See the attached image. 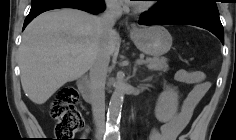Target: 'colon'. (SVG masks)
Returning <instances> with one entry per match:
<instances>
[{"label":"colon","mask_w":236,"mask_h":140,"mask_svg":"<svg viewBox=\"0 0 236 140\" xmlns=\"http://www.w3.org/2000/svg\"><path fill=\"white\" fill-rule=\"evenodd\" d=\"M78 93L73 87L62 88L50 106V115L56 121L55 135L57 140L71 138L83 128L84 121L76 107ZM180 140H187L181 136Z\"/></svg>","instance_id":"1"}]
</instances>
